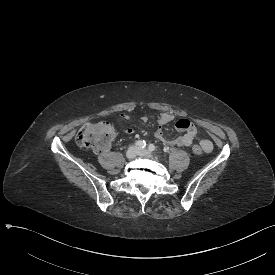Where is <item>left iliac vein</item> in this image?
I'll list each match as a JSON object with an SVG mask.
<instances>
[{"label": "left iliac vein", "mask_w": 275, "mask_h": 275, "mask_svg": "<svg viewBox=\"0 0 275 275\" xmlns=\"http://www.w3.org/2000/svg\"><path fill=\"white\" fill-rule=\"evenodd\" d=\"M139 155L141 156H149L150 155V152L146 149H140L139 150Z\"/></svg>", "instance_id": "4c4485c4"}]
</instances>
